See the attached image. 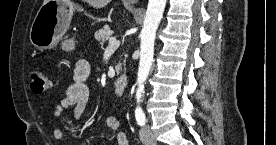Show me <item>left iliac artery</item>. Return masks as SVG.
Returning a JSON list of instances; mask_svg holds the SVG:
<instances>
[{
	"mask_svg": "<svg viewBox=\"0 0 276 145\" xmlns=\"http://www.w3.org/2000/svg\"><path fill=\"white\" fill-rule=\"evenodd\" d=\"M135 118L137 121V124L140 126L145 125L146 123V117L141 107H137L135 109Z\"/></svg>",
	"mask_w": 276,
	"mask_h": 145,
	"instance_id": "44dca946",
	"label": "left iliac artery"
}]
</instances>
